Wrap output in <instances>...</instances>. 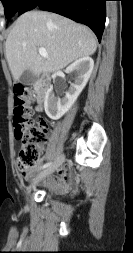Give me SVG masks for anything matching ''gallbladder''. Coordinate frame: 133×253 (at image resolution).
Segmentation results:
<instances>
[{
	"mask_svg": "<svg viewBox=\"0 0 133 253\" xmlns=\"http://www.w3.org/2000/svg\"><path fill=\"white\" fill-rule=\"evenodd\" d=\"M36 79V75H34L30 70H26L23 72L18 82L22 85H32Z\"/></svg>",
	"mask_w": 133,
	"mask_h": 253,
	"instance_id": "1",
	"label": "gallbladder"
}]
</instances>
